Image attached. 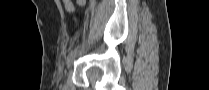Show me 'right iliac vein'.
<instances>
[{
    "instance_id": "right-iliac-vein-1",
    "label": "right iliac vein",
    "mask_w": 209,
    "mask_h": 90,
    "mask_svg": "<svg viewBox=\"0 0 209 90\" xmlns=\"http://www.w3.org/2000/svg\"><path fill=\"white\" fill-rule=\"evenodd\" d=\"M74 60H75V56L70 58V59H68L67 65L70 66L74 62Z\"/></svg>"
}]
</instances>
